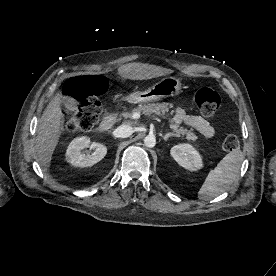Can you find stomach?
<instances>
[{
  "label": "stomach",
  "mask_w": 276,
  "mask_h": 276,
  "mask_svg": "<svg viewBox=\"0 0 276 276\" xmlns=\"http://www.w3.org/2000/svg\"><path fill=\"white\" fill-rule=\"evenodd\" d=\"M182 84L176 77H165L143 91L129 94L125 101L131 104L159 101L167 97H173L181 93Z\"/></svg>",
  "instance_id": "0dacf381"
}]
</instances>
